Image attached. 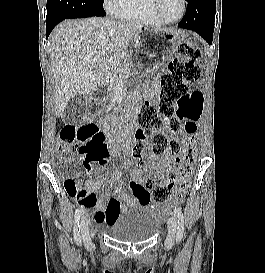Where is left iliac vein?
<instances>
[{
  "instance_id": "4c4485c4",
  "label": "left iliac vein",
  "mask_w": 265,
  "mask_h": 273,
  "mask_svg": "<svg viewBox=\"0 0 265 273\" xmlns=\"http://www.w3.org/2000/svg\"><path fill=\"white\" fill-rule=\"evenodd\" d=\"M177 232V222L174 217H171L168 222V234L165 241V245L170 248L174 244L175 236Z\"/></svg>"
}]
</instances>
